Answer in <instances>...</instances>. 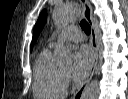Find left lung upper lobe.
<instances>
[{
  "label": "left lung upper lobe",
  "mask_w": 128,
  "mask_h": 99,
  "mask_svg": "<svg viewBox=\"0 0 128 99\" xmlns=\"http://www.w3.org/2000/svg\"><path fill=\"white\" fill-rule=\"evenodd\" d=\"M46 16H47V11L46 10H43L39 15L37 23L34 26L33 40H32V43H31V49H32V47H33L41 29H42V27L44 26V24L46 22Z\"/></svg>",
  "instance_id": "obj_1"
}]
</instances>
